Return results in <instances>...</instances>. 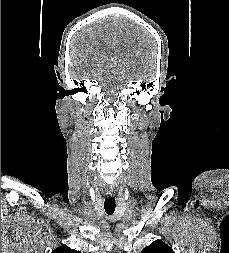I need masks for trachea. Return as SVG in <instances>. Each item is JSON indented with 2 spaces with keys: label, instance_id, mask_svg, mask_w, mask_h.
<instances>
[{
  "label": "trachea",
  "instance_id": "1",
  "mask_svg": "<svg viewBox=\"0 0 229 253\" xmlns=\"http://www.w3.org/2000/svg\"><path fill=\"white\" fill-rule=\"evenodd\" d=\"M115 198L114 197H111V198H106L105 199V202H104V209H105V212L108 214V215H112L115 211Z\"/></svg>",
  "mask_w": 229,
  "mask_h": 253
}]
</instances>
